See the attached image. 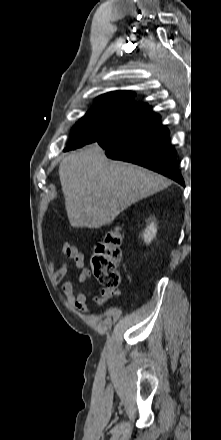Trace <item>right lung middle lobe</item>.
Wrapping results in <instances>:
<instances>
[{
    "label": "right lung middle lobe",
    "mask_w": 221,
    "mask_h": 440,
    "mask_svg": "<svg viewBox=\"0 0 221 440\" xmlns=\"http://www.w3.org/2000/svg\"><path fill=\"white\" fill-rule=\"evenodd\" d=\"M134 114L131 110H120L113 104L97 103L75 124L64 151L98 141Z\"/></svg>",
    "instance_id": "right-lung-middle-lobe-1"
}]
</instances>
